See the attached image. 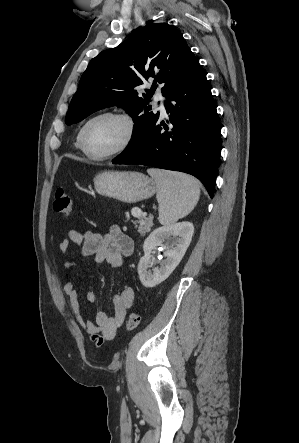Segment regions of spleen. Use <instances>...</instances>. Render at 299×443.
<instances>
[{"label":"spleen","instance_id":"1","mask_svg":"<svg viewBox=\"0 0 299 443\" xmlns=\"http://www.w3.org/2000/svg\"><path fill=\"white\" fill-rule=\"evenodd\" d=\"M147 172L157 184L159 222L162 225L174 224L194 209L200 196L199 182L195 178L153 168Z\"/></svg>","mask_w":299,"mask_h":443}]
</instances>
